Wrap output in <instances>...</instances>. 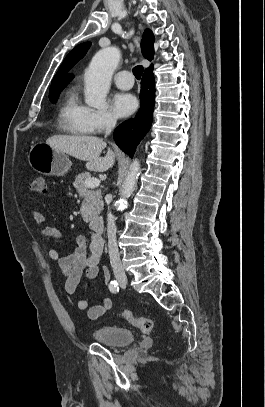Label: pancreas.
<instances>
[{"mask_svg":"<svg viewBox=\"0 0 265 407\" xmlns=\"http://www.w3.org/2000/svg\"><path fill=\"white\" fill-rule=\"evenodd\" d=\"M90 178V173H81L76 177L73 183L74 188L84 199L81 206V214L86 221H90L93 217L100 214L104 205L101 191L90 189L84 185L85 180Z\"/></svg>","mask_w":265,"mask_h":407,"instance_id":"1","label":"pancreas"}]
</instances>
